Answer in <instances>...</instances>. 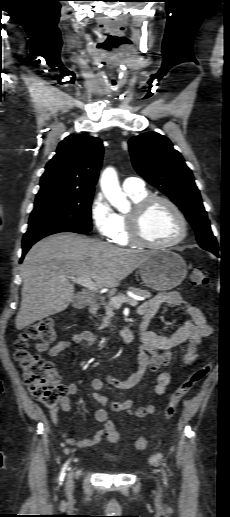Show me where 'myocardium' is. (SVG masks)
I'll use <instances>...</instances> for the list:
<instances>
[{"instance_id":"f54148a6","label":"myocardium","mask_w":230,"mask_h":517,"mask_svg":"<svg viewBox=\"0 0 230 517\" xmlns=\"http://www.w3.org/2000/svg\"><path fill=\"white\" fill-rule=\"evenodd\" d=\"M156 202H163L168 205L181 223L180 234L172 241L166 243H155L148 240L143 233V219L149 210V208ZM128 225H129V238L135 245L151 249H167L174 247L181 243L188 234V222L187 219L179 208V206L168 197L162 195H148L139 202L135 203L134 208L128 214Z\"/></svg>"}]
</instances>
